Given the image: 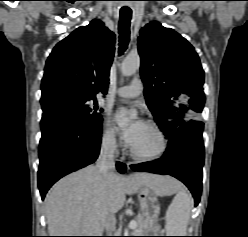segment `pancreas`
<instances>
[{"label":"pancreas","mask_w":248,"mask_h":237,"mask_svg":"<svg viewBox=\"0 0 248 237\" xmlns=\"http://www.w3.org/2000/svg\"><path fill=\"white\" fill-rule=\"evenodd\" d=\"M136 222L137 226L133 231V233H135L134 235H144L143 233L146 232V228L149 226V221L145 220L141 215L136 218Z\"/></svg>","instance_id":"pancreas-1"}]
</instances>
